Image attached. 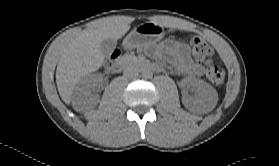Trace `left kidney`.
<instances>
[{"mask_svg":"<svg viewBox=\"0 0 279 166\" xmlns=\"http://www.w3.org/2000/svg\"><path fill=\"white\" fill-rule=\"evenodd\" d=\"M183 83L187 86H192L196 89L195 98L189 96L188 94H183L182 103L189 110H200L206 109L210 105L216 102L217 92L208 83L203 80H198L194 78H185Z\"/></svg>","mask_w":279,"mask_h":166,"instance_id":"obj_1","label":"left kidney"}]
</instances>
